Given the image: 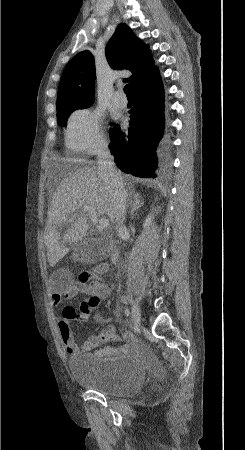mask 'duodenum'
<instances>
[{"label":"duodenum","mask_w":245,"mask_h":450,"mask_svg":"<svg viewBox=\"0 0 245 450\" xmlns=\"http://www.w3.org/2000/svg\"><path fill=\"white\" fill-rule=\"evenodd\" d=\"M110 259L114 264H118L119 263V255L118 252L116 250H113L111 255H110Z\"/></svg>","instance_id":"obj_1"}]
</instances>
